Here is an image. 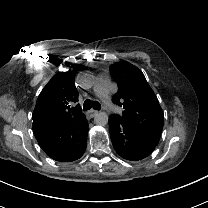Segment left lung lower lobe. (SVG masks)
Listing matches in <instances>:
<instances>
[{"label": "left lung lower lobe", "mask_w": 208, "mask_h": 208, "mask_svg": "<svg viewBox=\"0 0 208 208\" xmlns=\"http://www.w3.org/2000/svg\"><path fill=\"white\" fill-rule=\"evenodd\" d=\"M109 131L114 149L129 161L148 157L157 146L117 115L109 117Z\"/></svg>", "instance_id": "left-lung-lower-lobe-1"}]
</instances>
